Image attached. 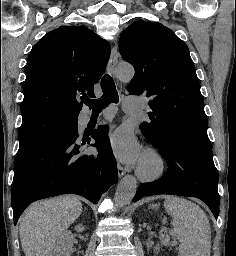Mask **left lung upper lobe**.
<instances>
[{
	"label": "left lung upper lobe",
	"mask_w": 236,
	"mask_h": 256,
	"mask_svg": "<svg viewBox=\"0 0 236 256\" xmlns=\"http://www.w3.org/2000/svg\"><path fill=\"white\" fill-rule=\"evenodd\" d=\"M119 51L135 69L128 85L130 94L144 93L151 98V122H142L140 129L153 146L163 149L169 141L211 146L204 101L187 45L162 24L138 20L122 32Z\"/></svg>",
	"instance_id": "obj_1"
}]
</instances>
